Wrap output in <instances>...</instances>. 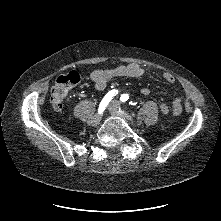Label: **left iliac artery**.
<instances>
[{
  "label": "left iliac artery",
  "mask_w": 221,
  "mask_h": 221,
  "mask_svg": "<svg viewBox=\"0 0 221 221\" xmlns=\"http://www.w3.org/2000/svg\"><path fill=\"white\" fill-rule=\"evenodd\" d=\"M120 99H121V101L125 102L129 99V95L128 94H123Z\"/></svg>",
  "instance_id": "44dca946"
}]
</instances>
